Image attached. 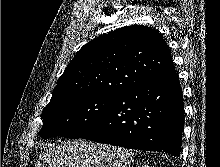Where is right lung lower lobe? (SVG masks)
<instances>
[{"label": "right lung lower lobe", "mask_w": 220, "mask_h": 167, "mask_svg": "<svg viewBox=\"0 0 220 167\" xmlns=\"http://www.w3.org/2000/svg\"><path fill=\"white\" fill-rule=\"evenodd\" d=\"M184 104L175 72L116 94L113 103L80 138L180 156Z\"/></svg>", "instance_id": "obj_1"}]
</instances>
